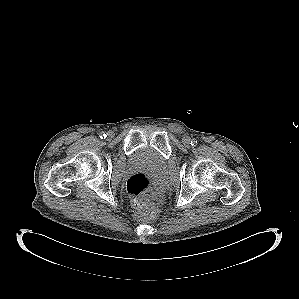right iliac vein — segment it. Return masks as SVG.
I'll list each match as a JSON object with an SVG mask.
<instances>
[{"label": "right iliac vein", "instance_id": "1", "mask_svg": "<svg viewBox=\"0 0 299 299\" xmlns=\"http://www.w3.org/2000/svg\"><path fill=\"white\" fill-rule=\"evenodd\" d=\"M108 136L112 137L113 136V132H108Z\"/></svg>", "mask_w": 299, "mask_h": 299}]
</instances>
